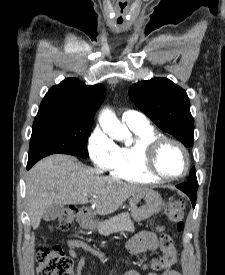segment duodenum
I'll return each mask as SVG.
<instances>
[{
    "label": "duodenum",
    "instance_id": "1",
    "mask_svg": "<svg viewBox=\"0 0 225 275\" xmlns=\"http://www.w3.org/2000/svg\"><path fill=\"white\" fill-rule=\"evenodd\" d=\"M87 213H88V210H87V209H82V210L80 211V213H79L78 220H79L80 222L84 221V220H85V217H86V215H87Z\"/></svg>",
    "mask_w": 225,
    "mask_h": 275
}]
</instances>
